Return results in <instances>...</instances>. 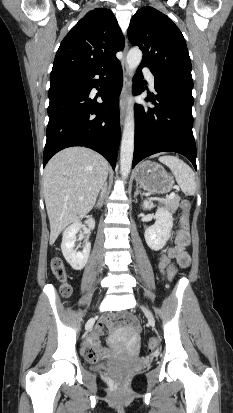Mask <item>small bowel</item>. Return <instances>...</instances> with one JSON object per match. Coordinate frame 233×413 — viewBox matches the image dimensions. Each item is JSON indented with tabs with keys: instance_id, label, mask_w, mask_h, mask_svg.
<instances>
[{
	"instance_id": "c3829d8e",
	"label": "small bowel",
	"mask_w": 233,
	"mask_h": 413,
	"mask_svg": "<svg viewBox=\"0 0 233 413\" xmlns=\"http://www.w3.org/2000/svg\"><path fill=\"white\" fill-rule=\"evenodd\" d=\"M188 244L189 236L183 234L180 230H178L174 235V246L164 250L160 255L158 268L161 273H165L166 270H168L172 259H175L178 265L181 267H187L189 265L190 256L186 251ZM123 318L124 324L127 325V327L134 332V335L130 343V349L132 352H134L137 346V338L135 335V331L138 328L137 320L128 312L123 314ZM114 320V315H108L107 317L101 319V321L95 329V332L87 340V356L91 354L97 358L99 354H109L107 350L101 347L99 336L103 334L104 328H112L114 326Z\"/></svg>"
}]
</instances>
